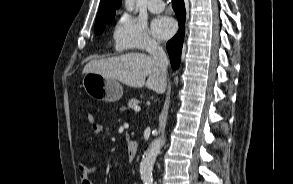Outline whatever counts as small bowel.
Here are the masks:
<instances>
[{
	"mask_svg": "<svg viewBox=\"0 0 293 184\" xmlns=\"http://www.w3.org/2000/svg\"><path fill=\"white\" fill-rule=\"evenodd\" d=\"M103 131L104 126L102 124L94 123L92 125V133L94 136H99L103 133ZM78 170L81 184H94L93 180L90 178V175L96 170L95 166L80 162L78 164Z\"/></svg>",
	"mask_w": 293,
	"mask_h": 184,
	"instance_id": "c3829d8e",
	"label": "small bowel"
}]
</instances>
